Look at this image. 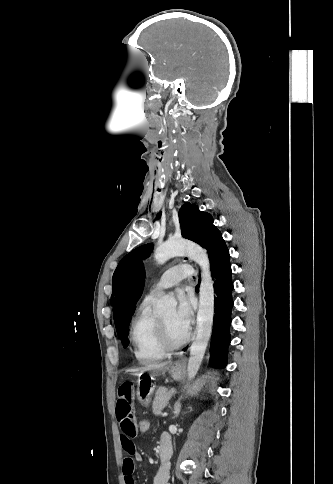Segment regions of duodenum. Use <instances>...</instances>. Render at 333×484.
<instances>
[{
  "mask_svg": "<svg viewBox=\"0 0 333 484\" xmlns=\"http://www.w3.org/2000/svg\"><path fill=\"white\" fill-rule=\"evenodd\" d=\"M157 453L161 467L169 468L170 458L172 456V445L170 440L161 441Z\"/></svg>",
  "mask_w": 333,
  "mask_h": 484,
  "instance_id": "410a0bca",
  "label": "duodenum"
}]
</instances>
